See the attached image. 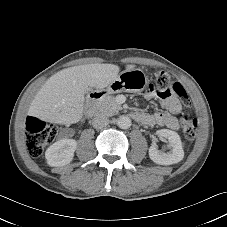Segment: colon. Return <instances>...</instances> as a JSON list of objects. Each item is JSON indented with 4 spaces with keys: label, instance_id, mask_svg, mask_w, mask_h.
I'll return each instance as SVG.
<instances>
[{
    "label": "colon",
    "instance_id": "1",
    "mask_svg": "<svg viewBox=\"0 0 227 227\" xmlns=\"http://www.w3.org/2000/svg\"><path fill=\"white\" fill-rule=\"evenodd\" d=\"M154 83L157 89H171L182 101L183 105L189 107L190 99L184 87L178 83H173L166 72L160 71L155 74ZM197 120L190 114H184L181 120V127L184 136L192 140L197 134ZM27 150L33 158L39 157L46 145L55 140L59 129L56 125L47 123L36 117H28L26 120Z\"/></svg>",
    "mask_w": 227,
    "mask_h": 227
}]
</instances>
